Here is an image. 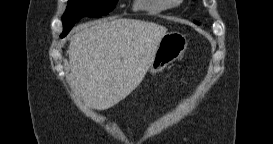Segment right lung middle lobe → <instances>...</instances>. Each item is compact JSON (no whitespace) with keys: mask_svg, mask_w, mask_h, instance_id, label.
<instances>
[{"mask_svg":"<svg viewBox=\"0 0 273 144\" xmlns=\"http://www.w3.org/2000/svg\"><path fill=\"white\" fill-rule=\"evenodd\" d=\"M116 3L117 0H69L62 17L63 32L61 38L68 34L76 20L85 16L100 17L107 15L114 9Z\"/></svg>","mask_w":273,"mask_h":144,"instance_id":"1","label":"right lung middle lobe"}]
</instances>
